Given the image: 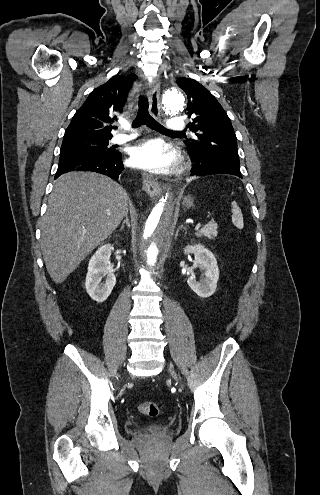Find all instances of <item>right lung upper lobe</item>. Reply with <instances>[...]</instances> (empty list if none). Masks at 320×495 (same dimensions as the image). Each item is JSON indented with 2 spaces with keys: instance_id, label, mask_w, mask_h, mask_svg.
I'll return each instance as SVG.
<instances>
[{
  "instance_id": "1",
  "label": "right lung upper lobe",
  "mask_w": 320,
  "mask_h": 495,
  "mask_svg": "<svg viewBox=\"0 0 320 495\" xmlns=\"http://www.w3.org/2000/svg\"><path fill=\"white\" fill-rule=\"evenodd\" d=\"M135 74L115 75L105 84L94 89L81 108L75 113L66 129L64 140L82 138H111V123L117 121Z\"/></svg>"
}]
</instances>
